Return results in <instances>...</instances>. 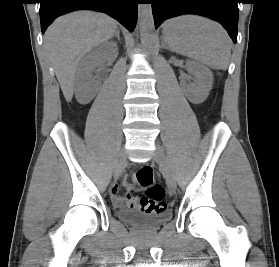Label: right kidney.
<instances>
[{"label": "right kidney", "mask_w": 279, "mask_h": 267, "mask_svg": "<svg viewBox=\"0 0 279 267\" xmlns=\"http://www.w3.org/2000/svg\"><path fill=\"white\" fill-rule=\"evenodd\" d=\"M117 53L118 50L115 49V56ZM111 54V47L105 44L86 56L85 68H83L80 74L77 75L75 82V94L79 103L87 104L95 97L100 86V81L93 77L91 72L102 62L103 59L110 57Z\"/></svg>", "instance_id": "1"}]
</instances>
